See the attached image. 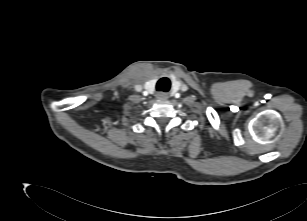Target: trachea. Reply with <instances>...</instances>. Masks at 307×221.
Wrapping results in <instances>:
<instances>
[{"label": "trachea", "instance_id": "1", "mask_svg": "<svg viewBox=\"0 0 307 221\" xmlns=\"http://www.w3.org/2000/svg\"><path fill=\"white\" fill-rule=\"evenodd\" d=\"M170 80L166 77L161 78L156 85L157 91L167 92L170 89Z\"/></svg>", "mask_w": 307, "mask_h": 221}]
</instances>
